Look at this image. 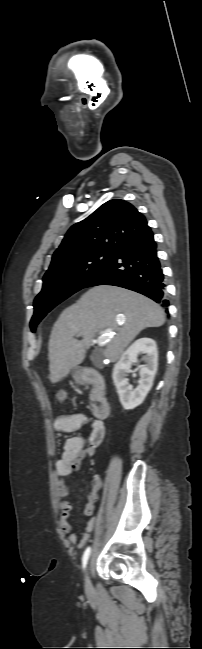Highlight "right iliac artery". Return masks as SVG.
I'll return each mask as SVG.
<instances>
[{"instance_id":"1","label":"right iliac artery","mask_w":202,"mask_h":649,"mask_svg":"<svg viewBox=\"0 0 202 649\" xmlns=\"http://www.w3.org/2000/svg\"><path fill=\"white\" fill-rule=\"evenodd\" d=\"M90 552H91V548L87 547L84 554H83V557H82L83 569H85V567H86L87 561H88L89 556H90Z\"/></svg>"}]
</instances>
